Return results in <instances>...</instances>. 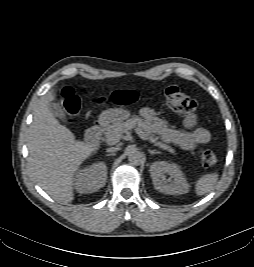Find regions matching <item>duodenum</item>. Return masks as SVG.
I'll use <instances>...</instances> for the list:
<instances>
[{
    "label": "duodenum",
    "instance_id": "duodenum-1",
    "mask_svg": "<svg viewBox=\"0 0 254 267\" xmlns=\"http://www.w3.org/2000/svg\"><path fill=\"white\" fill-rule=\"evenodd\" d=\"M104 126L101 123H96L91 126L85 134V140L90 146H97L100 142Z\"/></svg>",
    "mask_w": 254,
    "mask_h": 267
}]
</instances>
